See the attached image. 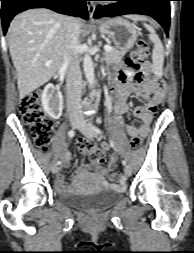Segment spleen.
<instances>
[{
	"instance_id": "spleen-1",
	"label": "spleen",
	"mask_w": 194,
	"mask_h": 253,
	"mask_svg": "<svg viewBox=\"0 0 194 253\" xmlns=\"http://www.w3.org/2000/svg\"><path fill=\"white\" fill-rule=\"evenodd\" d=\"M144 27L150 32L149 39L154 44L151 57L153 62V73L157 77H161L163 74L164 47L153 27L147 24H144Z\"/></svg>"
}]
</instances>
